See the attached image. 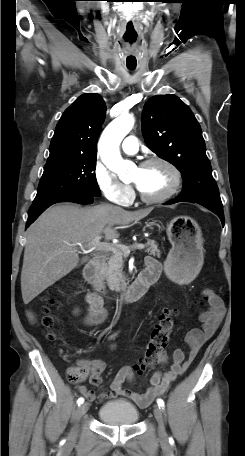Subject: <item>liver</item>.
Returning a JSON list of instances; mask_svg holds the SVG:
<instances>
[{"label": "liver", "mask_w": 245, "mask_h": 456, "mask_svg": "<svg viewBox=\"0 0 245 456\" xmlns=\"http://www.w3.org/2000/svg\"><path fill=\"white\" fill-rule=\"evenodd\" d=\"M152 208L127 211L102 204L80 207L57 204L47 209L28 229L21 271L25 304L73 269L88 261L79 258L77 243L88 245L101 234L105 240L119 237L114 225H128L146 217Z\"/></svg>", "instance_id": "1"}]
</instances>
